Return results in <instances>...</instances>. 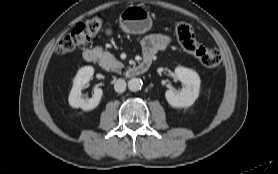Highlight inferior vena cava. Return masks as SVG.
I'll return each instance as SVG.
<instances>
[{
	"label": "inferior vena cava",
	"instance_id": "inferior-vena-cava-1",
	"mask_svg": "<svg viewBox=\"0 0 278 174\" xmlns=\"http://www.w3.org/2000/svg\"><path fill=\"white\" fill-rule=\"evenodd\" d=\"M114 89L118 93H123L126 89V82L124 79H117L114 83Z\"/></svg>",
	"mask_w": 278,
	"mask_h": 174
}]
</instances>
